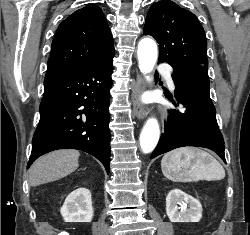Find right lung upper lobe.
<instances>
[{"instance_id": "cb5924a9", "label": "right lung upper lobe", "mask_w": 250, "mask_h": 235, "mask_svg": "<svg viewBox=\"0 0 250 235\" xmlns=\"http://www.w3.org/2000/svg\"><path fill=\"white\" fill-rule=\"evenodd\" d=\"M114 51V43L101 9L87 5L64 20L52 41L46 76L76 71Z\"/></svg>"}]
</instances>
